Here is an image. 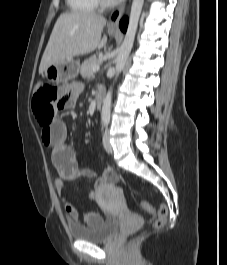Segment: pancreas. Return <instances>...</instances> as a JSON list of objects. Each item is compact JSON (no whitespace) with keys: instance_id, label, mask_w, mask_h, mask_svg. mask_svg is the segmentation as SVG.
<instances>
[{"instance_id":"obj_1","label":"pancreas","mask_w":227,"mask_h":265,"mask_svg":"<svg viewBox=\"0 0 227 265\" xmlns=\"http://www.w3.org/2000/svg\"><path fill=\"white\" fill-rule=\"evenodd\" d=\"M99 63L100 62L95 55L86 59L80 67V73H81L82 77H84V78L91 77L94 73L92 71V66L99 65Z\"/></svg>"}]
</instances>
